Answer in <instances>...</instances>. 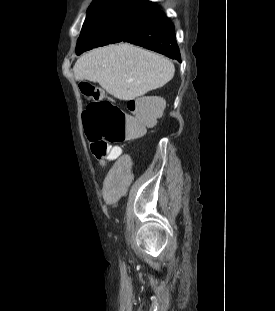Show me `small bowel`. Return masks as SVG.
<instances>
[{
	"label": "small bowel",
	"mask_w": 275,
	"mask_h": 311,
	"mask_svg": "<svg viewBox=\"0 0 275 311\" xmlns=\"http://www.w3.org/2000/svg\"><path fill=\"white\" fill-rule=\"evenodd\" d=\"M118 155L111 159L114 161V168L109 169L108 176L105 183L102 184V189L107 194L103 195L104 201H113V206H107V213H120L121 208L118 205L120 196L124 193L128 180H132L135 176V169H131L135 166V161L132 160V150H125L124 155H121V148H118Z\"/></svg>",
	"instance_id": "obj_1"
}]
</instances>
